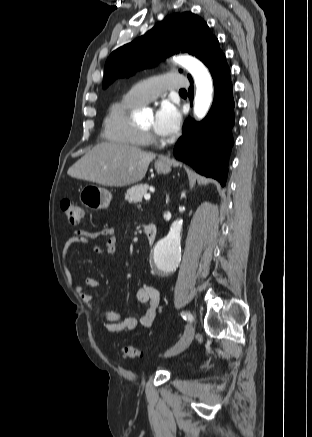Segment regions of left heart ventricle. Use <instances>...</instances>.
<instances>
[{"instance_id": "obj_1", "label": "left heart ventricle", "mask_w": 312, "mask_h": 437, "mask_svg": "<svg viewBox=\"0 0 312 437\" xmlns=\"http://www.w3.org/2000/svg\"><path fill=\"white\" fill-rule=\"evenodd\" d=\"M153 124H154V117L149 116L148 118L145 119L144 123L141 125V128L146 130H151L153 129Z\"/></svg>"}]
</instances>
